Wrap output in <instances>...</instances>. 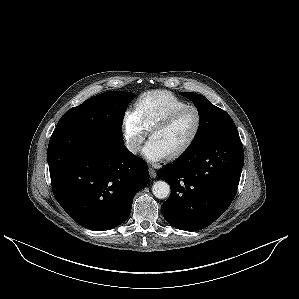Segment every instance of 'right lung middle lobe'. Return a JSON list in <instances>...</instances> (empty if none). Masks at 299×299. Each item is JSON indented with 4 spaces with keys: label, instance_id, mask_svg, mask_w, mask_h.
Masks as SVG:
<instances>
[{
    "label": "right lung middle lobe",
    "instance_id": "1",
    "mask_svg": "<svg viewBox=\"0 0 299 299\" xmlns=\"http://www.w3.org/2000/svg\"><path fill=\"white\" fill-rule=\"evenodd\" d=\"M134 97L135 94L123 91L99 94L67 111L56 128L102 134L123 141L122 122Z\"/></svg>",
    "mask_w": 299,
    "mask_h": 299
}]
</instances>
